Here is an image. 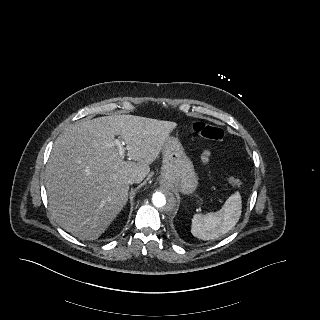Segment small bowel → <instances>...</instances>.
I'll return each instance as SVG.
<instances>
[{
  "mask_svg": "<svg viewBox=\"0 0 320 320\" xmlns=\"http://www.w3.org/2000/svg\"><path fill=\"white\" fill-rule=\"evenodd\" d=\"M210 157V152L209 151H205L203 154V159L204 161H208Z\"/></svg>",
  "mask_w": 320,
  "mask_h": 320,
  "instance_id": "1",
  "label": "small bowel"
}]
</instances>
